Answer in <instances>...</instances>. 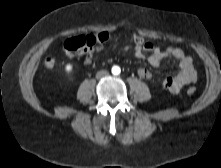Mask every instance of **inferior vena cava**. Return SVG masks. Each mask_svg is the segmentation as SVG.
Instances as JSON below:
<instances>
[{
    "instance_id": "obj_1",
    "label": "inferior vena cava",
    "mask_w": 221,
    "mask_h": 168,
    "mask_svg": "<svg viewBox=\"0 0 221 168\" xmlns=\"http://www.w3.org/2000/svg\"><path fill=\"white\" fill-rule=\"evenodd\" d=\"M108 75H109V73L106 70H101V71L97 72L96 78L101 79V78L106 77Z\"/></svg>"
}]
</instances>
